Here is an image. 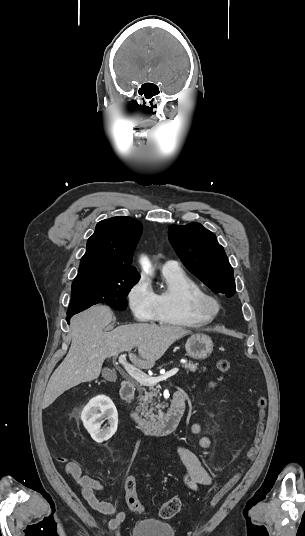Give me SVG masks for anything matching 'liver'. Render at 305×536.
<instances>
[{"label": "liver", "instance_id": "6515ba94", "mask_svg": "<svg viewBox=\"0 0 305 536\" xmlns=\"http://www.w3.org/2000/svg\"><path fill=\"white\" fill-rule=\"evenodd\" d=\"M112 318L110 308L101 304L72 318L71 348L47 384L43 408H48L66 390L82 382L97 380L106 358L138 348L139 358L129 354L132 364L141 370H150L171 344L190 334V330L180 326L156 324H127L118 326L112 332H103L111 324Z\"/></svg>", "mask_w": 305, "mask_h": 536}]
</instances>
